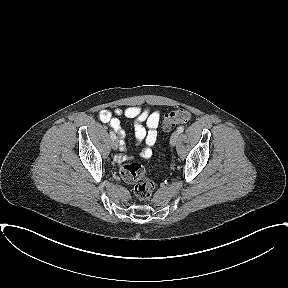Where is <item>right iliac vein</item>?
<instances>
[{"instance_id": "obj_1", "label": "right iliac vein", "mask_w": 288, "mask_h": 288, "mask_svg": "<svg viewBox=\"0 0 288 288\" xmlns=\"http://www.w3.org/2000/svg\"><path fill=\"white\" fill-rule=\"evenodd\" d=\"M118 146H119V141H118V139H117V138L112 139V141H111V147H112L114 150H116V149L118 148Z\"/></svg>"}]
</instances>
